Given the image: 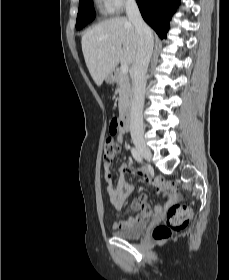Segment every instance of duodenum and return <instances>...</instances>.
<instances>
[{
	"mask_svg": "<svg viewBox=\"0 0 229 280\" xmlns=\"http://www.w3.org/2000/svg\"><path fill=\"white\" fill-rule=\"evenodd\" d=\"M120 128L126 131L130 124V108H125L119 117Z\"/></svg>",
	"mask_w": 229,
	"mask_h": 280,
	"instance_id": "1",
	"label": "duodenum"
}]
</instances>
